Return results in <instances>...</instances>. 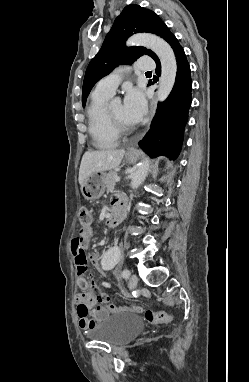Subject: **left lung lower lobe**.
<instances>
[{
  "instance_id": "left-lung-lower-lobe-1",
  "label": "left lung lower lobe",
  "mask_w": 249,
  "mask_h": 382,
  "mask_svg": "<svg viewBox=\"0 0 249 382\" xmlns=\"http://www.w3.org/2000/svg\"><path fill=\"white\" fill-rule=\"evenodd\" d=\"M177 61V75L174 87L169 97L158 104L151 128L139 146L152 157L165 155L175 159L181 149L184 128L191 105V72L183 48L176 37L169 43ZM156 73L160 76L159 59Z\"/></svg>"
}]
</instances>
